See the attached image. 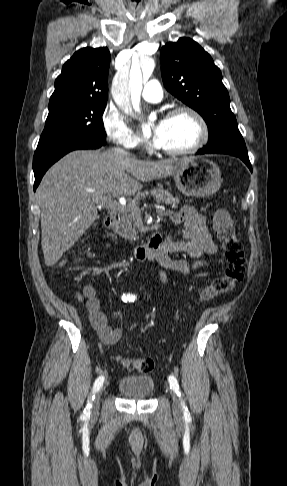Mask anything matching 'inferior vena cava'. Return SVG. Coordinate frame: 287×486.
I'll use <instances>...</instances> for the list:
<instances>
[{"label":"inferior vena cava","instance_id":"inferior-vena-cava-1","mask_svg":"<svg viewBox=\"0 0 287 486\" xmlns=\"http://www.w3.org/2000/svg\"><path fill=\"white\" fill-rule=\"evenodd\" d=\"M113 151L118 153V154H121L123 156L124 155L127 156V154H128L124 149H121V148H115V149H113Z\"/></svg>","mask_w":287,"mask_h":486}]
</instances>
